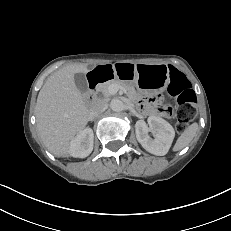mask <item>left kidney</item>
I'll list each match as a JSON object with an SVG mask.
<instances>
[{
	"mask_svg": "<svg viewBox=\"0 0 231 231\" xmlns=\"http://www.w3.org/2000/svg\"><path fill=\"white\" fill-rule=\"evenodd\" d=\"M148 124L149 127L143 120L136 122L135 132L138 142L151 154L157 156L167 154L175 136L173 127L164 119L156 116H150ZM150 130L155 132L154 139L148 135Z\"/></svg>",
	"mask_w": 231,
	"mask_h": 231,
	"instance_id": "obj_1",
	"label": "left kidney"
}]
</instances>
